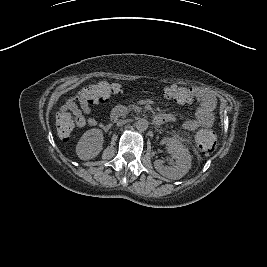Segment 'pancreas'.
<instances>
[{"mask_svg":"<svg viewBox=\"0 0 267 267\" xmlns=\"http://www.w3.org/2000/svg\"><path fill=\"white\" fill-rule=\"evenodd\" d=\"M132 109L135 110V106H133Z\"/></svg>","mask_w":267,"mask_h":267,"instance_id":"1","label":"pancreas"}]
</instances>
